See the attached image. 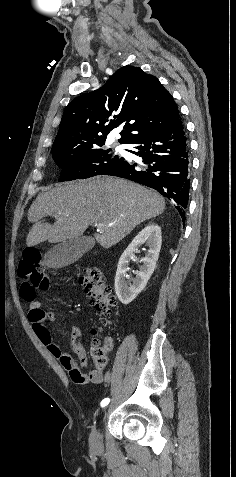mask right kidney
Segmentation results:
<instances>
[{
  "instance_id": "1",
  "label": "right kidney",
  "mask_w": 236,
  "mask_h": 477,
  "mask_svg": "<svg viewBox=\"0 0 236 477\" xmlns=\"http://www.w3.org/2000/svg\"><path fill=\"white\" fill-rule=\"evenodd\" d=\"M143 243H146L149 249L145 257L141 259L143 265L139 271L135 272L136 277L132 280V283L128 285L125 279L127 277V271L129 270V262L135 258V252ZM161 243V228L157 224H150L133 239L121 255L115 276V292L118 299L124 305L132 302L147 285L156 267Z\"/></svg>"
}]
</instances>
